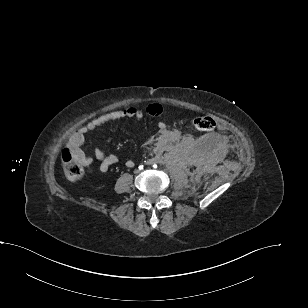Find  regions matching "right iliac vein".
Masks as SVG:
<instances>
[{
  "label": "right iliac vein",
  "instance_id": "63e3f726",
  "mask_svg": "<svg viewBox=\"0 0 308 308\" xmlns=\"http://www.w3.org/2000/svg\"><path fill=\"white\" fill-rule=\"evenodd\" d=\"M134 173H135V174H139V173H140V170H139V169H135V170H134Z\"/></svg>",
  "mask_w": 308,
  "mask_h": 308
}]
</instances>
